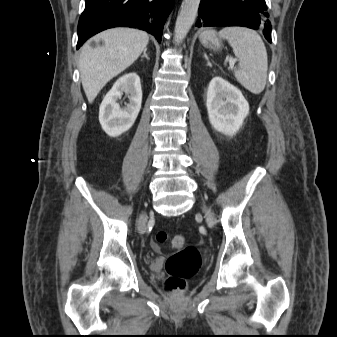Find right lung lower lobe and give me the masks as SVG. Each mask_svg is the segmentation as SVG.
I'll use <instances>...</instances> for the list:
<instances>
[{"mask_svg": "<svg viewBox=\"0 0 337 337\" xmlns=\"http://www.w3.org/2000/svg\"><path fill=\"white\" fill-rule=\"evenodd\" d=\"M78 23L77 49L91 36L112 27L146 30L161 42L174 0H85Z\"/></svg>", "mask_w": 337, "mask_h": 337, "instance_id": "right-lung-lower-lobe-1", "label": "right lung lower lobe"}]
</instances>
